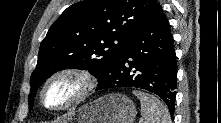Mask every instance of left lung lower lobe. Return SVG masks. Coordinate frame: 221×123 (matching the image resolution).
<instances>
[{"mask_svg": "<svg viewBox=\"0 0 221 123\" xmlns=\"http://www.w3.org/2000/svg\"><path fill=\"white\" fill-rule=\"evenodd\" d=\"M177 63L173 36L162 7L129 39L118 60L98 78L97 89L137 87L160 96L174 113Z\"/></svg>", "mask_w": 221, "mask_h": 123, "instance_id": "1", "label": "left lung lower lobe"}]
</instances>
